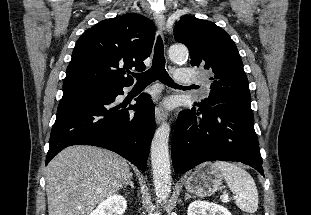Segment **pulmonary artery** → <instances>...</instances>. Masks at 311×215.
Returning a JSON list of instances; mask_svg holds the SVG:
<instances>
[{"instance_id":"pulmonary-artery-1","label":"pulmonary artery","mask_w":311,"mask_h":215,"mask_svg":"<svg viewBox=\"0 0 311 215\" xmlns=\"http://www.w3.org/2000/svg\"><path fill=\"white\" fill-rule=\"evenodd\" d=\"M175 78L180 83L197 82V77L190 70L184 68L175 71Z\"/></svg>"}]
</instances>
